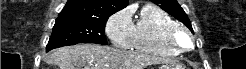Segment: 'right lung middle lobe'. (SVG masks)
<instances>
[{
  "label": "right lung middle lobe",
  "mask_w": 246,
  "mask_h": 69,
  "mask_svg": "<svg viewBox=\"0 0 246 69\" xmlns=\"http://www.w3.org/2000/svg\"><path fill=\"white\" fill-rule=\"evenodd\" d=\"M106 21L107 19H57L46 51L78 43L107 45L104 35Z\"/></svg>",
  "instance_id": "1"
}]
</instances>
